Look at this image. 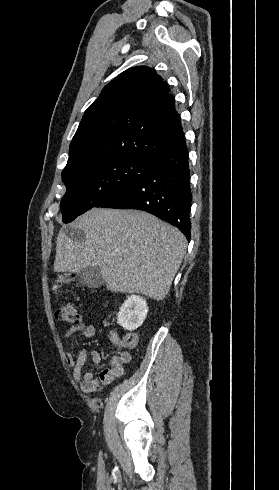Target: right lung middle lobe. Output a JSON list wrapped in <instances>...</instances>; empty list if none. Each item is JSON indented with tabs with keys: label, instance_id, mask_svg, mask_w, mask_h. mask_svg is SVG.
I'll list each match as a JSON object with an SVG mask.
<instances>
[{
	"label": "right lung middle lobe",
	"instance_id": "1",
	"mask_svg": "<svg viewBox=\"0 0 279 490\" xmlns=\"http://www.w3.org/2000/svg\"><path fill=\"white\" fill-rule=\"evenodd\" d=\"M152 162L135 158H107L91 161L62 174L66 193L61 200L63 222L95 207L106 196L134 182Z\"/></svg>",
	"mask_w": 279,
	"mask_h": 490
}]
</instances>
